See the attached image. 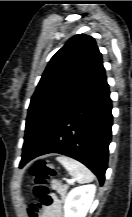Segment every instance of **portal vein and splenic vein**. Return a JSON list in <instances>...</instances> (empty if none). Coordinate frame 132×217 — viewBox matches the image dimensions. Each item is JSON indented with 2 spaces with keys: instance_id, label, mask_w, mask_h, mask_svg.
Here are the masks:
<instances>
[{
  "instance_id": "18ae733b",
  "label": "portal vein and splenic vein",
  "mask_w": 132,
  "mask_h": 217,
  "mask_svg": "<svg viewBox=\"0 0 132 217\" xmlns=\"http://www.w3.org/2000/svg\"><path fill=\"white\" fill-rule=\"evenodd\" d=\"M65 181H66V182H68V183H70V182H71V180H70V179H65Z\"/></svg>"
}]
</instances>
